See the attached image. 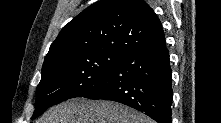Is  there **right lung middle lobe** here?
<instances>
[{"label": "right lung middle lobe", "instance_id": "right-lung-middle-lobe-1", "mask_svg": "<svg viewBox=\"0 0 221 123\" xmlns=\"http://www.w3.org/2000/svg\"><path fill=\"white\" fill-rule=\"evenodd\" d=\"M127 54L109 49L81 51L43 64L32 119L48 107L96 90Z\"/></svg>", "mask_w": 221, "mask_h": 123}]
</instances>
